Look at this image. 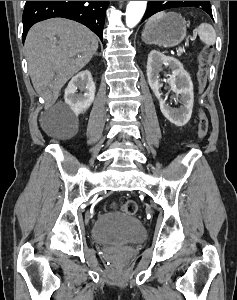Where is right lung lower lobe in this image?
<instances>
[{"instance_id":"98d812e1","label":"right lung lower lobe","mask_w":237,"mask_h":300,"mask_svg":"<svg viewBox=\"0 0 237 300\" xmlns=\"http://www.w3.org/2000/svg\"><path fill=\"white\" fill-rule=\"evenodd\" d=\"M107 6L108 1H26L23 12V42L33 24L54 17L80 22L103 41Z\"/></svg>"}]
</instances>
